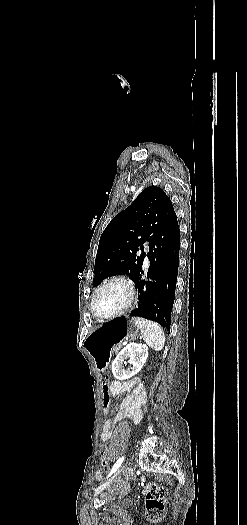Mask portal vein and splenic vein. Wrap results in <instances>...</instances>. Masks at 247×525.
Listing matches in <instances>:
<instances>
[{
  "mask_svg": "<svg viewBox=\"0 0 247 525\" xmlns=\"http://www.w3.org/2000/svg\"><path fill=\"white\" fill-rule=\"evenodd\" d=\"M126 343H128V340H125V343H121V346H126Z\"/></svg>",
  "mask_w": 247,
  "mask_h": 525,
  "instance_id": "obj_1",
  "label": "portal vein and splenic vein"
}]
</instances>
